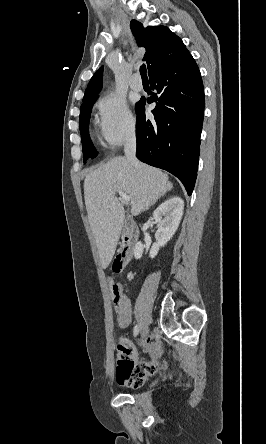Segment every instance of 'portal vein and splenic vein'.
Wrapping results in <instances>:
<instances>
[{
  "mask_svg": "<svg viewBox=\"0 0 266 444\" xmlns=\"http://www.w3.org/2000/svg\"><path fill=\"white\" fill-rule=\"evenodd\" d=\"M118 194L124 203L130 202V197L126 193H124L123 191H119Z\"/></svg>",
  "mask_w": 266,
  "mask_h": 444,
  "instance_id": "18ae733b",
  "label": "portal vein and splenic vein"
}]
</instances>
